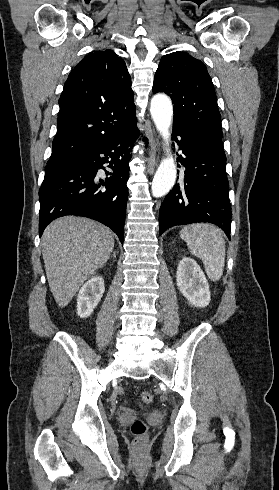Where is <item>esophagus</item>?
<instances>
[{
  "label": "esophagus",
  "mask_w": 279,
  "mask_h": 490,
  "mask_svg": "<svg viewBox=\"0 0 279 490\" xmlns=\"http://www.w3.org/2000/svg\"><path fill=\"white\" fill-rule=\"evenodd\" d=\"M158 149H159V143H158V140L155 138L153 140V144L151 145V147L148 150L149 166L151 168H154V166L157 162L156 155H157Z\"/></svg>",
  "instance_id": "obj_1"
}]
</instances>
